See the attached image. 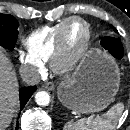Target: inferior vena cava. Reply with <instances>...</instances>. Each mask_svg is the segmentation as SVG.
I'll list each match as a JSON object with an SVG mask.
<instances>
[{
  "mask_svg": "<svg viewBox=\"0 0 130 130\" xmlns=\"http://www.w3.org/2000/svg\"><path fill=\"white\" fill-rule=\"evenodd\" d=\"M21 76L28 85H36L40 82L41 76L37 69L31 65L21 67Z\"/></svg>",
  "mask_w": 130,
  "mask_h": 130,
  "instance_id": "obj_1",
  "label": "inferior vena cava"
}]
</instances>
